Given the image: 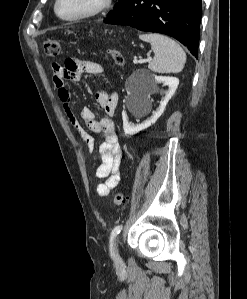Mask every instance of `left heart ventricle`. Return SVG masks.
I'll return each instance as SVG.
<instances>
[{
  "label": "left heart ventricle",
  "mask_w": 247,
  "mask_h": 299,
  "mask_svg": "<svg viewBox=\"0 0 247 299\" xmlns=\"http://www.w3.org/2000/svg\"><path fill=\"white\" fill-rule=\"evenodd\" d=\"M96 0H62L59 5V12L63 16L79 14L92 6Z\"/></svg>",
  "instance_id": "1"
}]
</instances>
